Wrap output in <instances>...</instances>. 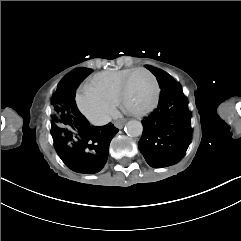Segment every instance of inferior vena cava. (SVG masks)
Returning a JSON list of instances; mask_svg holds the SVG:
<instances>
[{
	"label": "inferior vena cava",
	"instance_id": "inferior-vena-cava-1",
	"mask_svg": "<svg viewBox=\"0 0 241 241\" xmlns=\"http://www.w3.org/2000/svg\"><path fill=\"white\" fill-rule=\"evenodd\" d=\"M110 121H111V117L108 116V115H105L102 118L94 121L93 124L96 125V126H102V125L108 124Z\"/></svg>",
	"mask_w": 241,
	"mask_h": 241
}]
</instances>
